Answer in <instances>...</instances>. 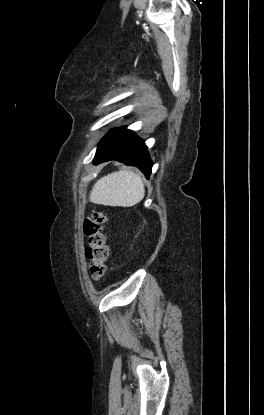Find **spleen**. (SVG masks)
<instances>
[{
	"label": "spleen",
	"mask_w": 264,
	"mask_h": 415,
	"mask_svg": "<svg viewBox=\"0 0 264 415\" xmlns=\"http://www.w3.org/2000/svg\"><path fill=\"white\" fill-rule=\"evenodd\" d=\"M145 195L142 178L130 170L110 173L94 184L89 200L95 204L130 207Z\"/></svg>",
	"instance_id": "3e777b00"
}]
</instances>
